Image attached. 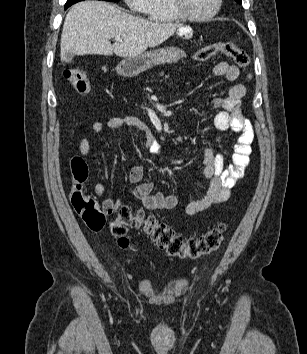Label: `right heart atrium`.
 <instances>
[{
    "label": "right heart atrium",
    "instance_id": "obj_1",
    "mask_svg": "<svg viewBox=\"0 0 307 354\" xmlns=\"http://www.w3.org/2000/svg\"><path fill=\"white\" fill-rule=\"evenodd\" d=\"M126 5L133 11L145 12L150 0H124Z\"/></svg>",
    "mask_w": 307,
    "mask_h": 354
}]
</instances>
